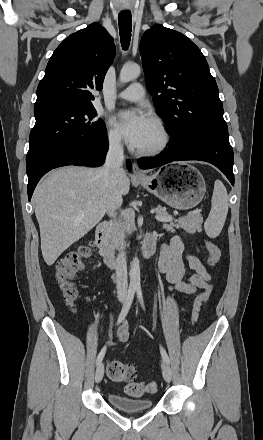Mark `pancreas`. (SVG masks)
Masks as SVG:
<instances>
[{"label":"pancreas","mask_w":263,"mask_h":440,"mask_svg":"<svg viewBox=\"0 0 263 440\" xmlns=\"http://www.w3.org/2000/svg\"><path fill=\"white\" fill-rule=\"evenodd\" d=\"M156 213L158 215L162 216H169L166 209H164L161 206H158L155 209ZM177 223L171 222L170 224H164L163 227L167 231H174V227L181 228L185 230L188 233L194 234L196 232H200L202 229V223H203V217L199 212H194L191 214H188L184 217L179 218ZM133 230V221L132 219L128 218L125 219L123 222L119 221L115 224L113 227V231L111 234V244L113 246L116 245V238L119 234H122L124 232L131 233Z\"/></svg>","instance_id":"obj_1"}]
</instances>
